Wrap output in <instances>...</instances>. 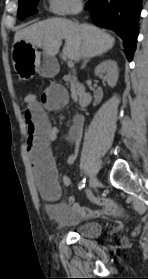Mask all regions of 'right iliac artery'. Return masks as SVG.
Segmentation results:
<instances>
[{
  "mask_svg": "<svg viewBox=\"0 0 148 279\" xmlns=\"http://www.w3.org/2000/svg\"><path fill=\"white\" fill-rule=\"evenodd\" d=\"M85 183H86V179L84 178L80 183H79V186L78 188L81 190L82 188L85 187Z\"/></svg>",
  "mask_w": 148,
  "mask_h": 279,
  "instance_id": "right-iliac-artery-1",
  "label": "right iliac artery"
}]
</instances>
